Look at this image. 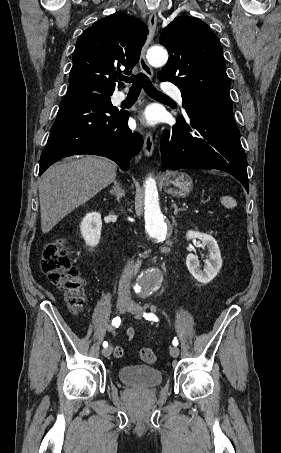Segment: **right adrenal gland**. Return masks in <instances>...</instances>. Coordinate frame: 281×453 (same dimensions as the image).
I'll return each mask as SVG.
<instances>
[{"label":"right adrenal gland","instance_id":"1","mask_svg":"<svg viewBox=\"0 0 281 453\" xmlns=\"http://www.w3.org/2000/svg\"><path fill=\"white\" fill-rule=\"evenodd\" d=\"M114 184L112 186V188H110L109 192H111V194H114L117 202H121L120 198H122V196H125V192L120 184V182H117V180H113Z\"/></svg>","mask_w":281,"mask_h":453}]
</instances>
